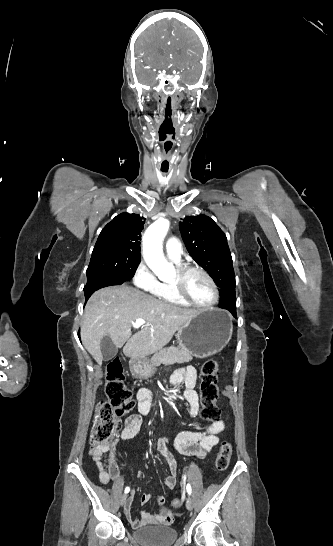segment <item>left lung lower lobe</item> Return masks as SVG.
Segmentation results:
<instances>
[{"label":"left lung lower lobe","mask_w":333,"mask_h":546,"mask_svg":"<svg viewBox=\"0 0 333 546\" xmlns=\"http://www.w3.org/2000/svg\"><path fill=\"white\" fill-rule=\"evenodd\" d=\"M226 309L228 311H230L233 316L236 317V307H230V308H226Z\"/></svg>","instance_id":"left-lung-lower-lobe-1"}]
</instances>
